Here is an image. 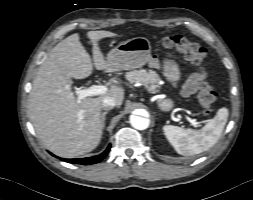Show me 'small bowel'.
<instances>
[{
	"mask_svg": "<svg viewBox=\"0 0 253 200\" xmlns=\"http://www.w3.org/2000/svg\"><path fill=\"white\" fill-rule=\"evenodd\" d=\"M149 64L151 67L157 68L159 67V60L155 57L151 58ZM203 79H205L204 73L191 74L184 85V93L186 95L193 94L196 91L197 86L201 83Z\"/></svg>",
	"mask_w": 253,
	"mask_h": 200,
	"instance_id": "c3829d8e",
	"label": "small bowel"
}]
</instances>
